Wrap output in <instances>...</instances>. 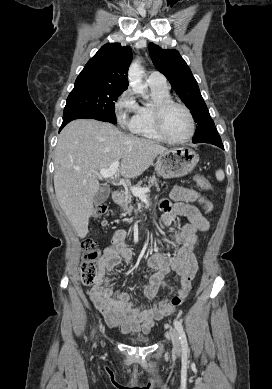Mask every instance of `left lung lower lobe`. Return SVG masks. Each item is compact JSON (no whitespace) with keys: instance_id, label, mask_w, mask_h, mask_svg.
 Wrapping results in <instances>:
<instances>
[{"instance_id":"1","label":"left lung lower lobe","mask_w":272,"mask_h":389,"mask_svg":"<svg viewBox=\"0 0 272 389\" xmlns=\"http://www.w3.org/2000/svg\"><path fill=\"white\" fill-rule=\"evenodd\" d=\"M211 143L213 145H216L222 149H224V146L222 144V141H221V138L218 134L217 131H214L212 132L210 135L206 136L204 139H202L201 141L197 142V143Z\"/></svg>"}]
</instances>
